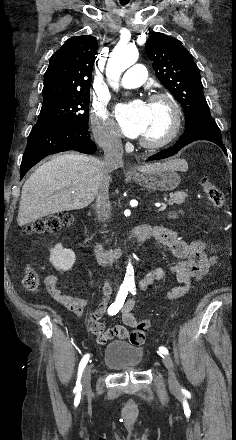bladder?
Instances as JSON below:
<instances>
[{
	"instance_id": "obj_1",
	"label": "bladder",
	"mask_w": 236,
	"mask_h": 440,
	"mask_svg": "<svg viewBox=\"0 0 236 440\" xmlns=\"http://www.w3.org/2000/svg\"><path fill=\"white\" fill-rule=\"evenodd\" d=\"M103 362L119 371L139 370L144 362V348L122 340L107 344Z\"/></svg>"
}]
</instances>
